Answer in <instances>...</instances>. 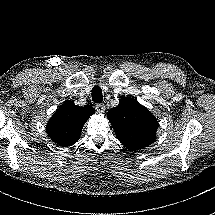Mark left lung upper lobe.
Segmentation results:
<instances>
[{
  "label": "left lung upper lobe",
  "mask_w": 215,
  "mask_h": 215,
  "mask_svg": "<svg viewBox=\"0 0 215 215\" xmlns=\"http://www.w3.org/2000/svg\"><path fill=\"white\" fill-rule=\"evenodd\" d=\"M108 119L117 139L130 151L145 148L155 139L158 121L134 98L120 99L108 112Z\"/></svg>",
  "instance_id": "left-lung-upper-lobe-1"
}]
</instances>
